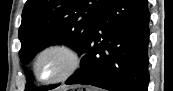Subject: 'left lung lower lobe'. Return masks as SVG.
Instances as JSON below:
<instances>
[{
  "mask_svg": "<svg viewBox=\"0 0 173 91\" xmlns=\"http://www.w3.org/2000/svg\"><path fill=\"white\" fill-rule=\"evenodd\" d=\"M149 20L147 0H108L83 49L81 68L65 83L147 91Z\"/></svg>",
  "mask_w": 173,
  "mask_h": 91,
  "instance_id": "1",
  "label": "left lung lower lobe"
}]
</instances>
